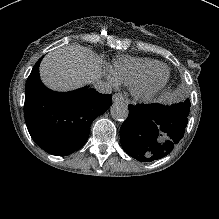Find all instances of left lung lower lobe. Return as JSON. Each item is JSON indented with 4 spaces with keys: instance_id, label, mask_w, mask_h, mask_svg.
Returning <instances> with one entry per match:
<instances>
[{
    "instance_id": "left-lung-lower-lobe-1",
    "label": "left lung lower lobe",
    "mask_w": 219,
    "mask_h": 219,
    "mask_svg": "<svg viewBox=\"0 0 219 219\" xmlns=\"http://www.w3.org/2000/svg\"><path fill=\"white\" fill-rule=\"evenodd\" d=\"M129 116L120 129L123 149L139 161H153L169 154L183 137L188 114L158 103L129 105Z\"/></svg>"
}]
</instances>
